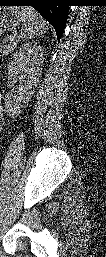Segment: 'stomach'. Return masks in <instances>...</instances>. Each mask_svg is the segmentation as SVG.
I'll use <instances>...</instances> for the list:
<instances>
[{
    "label": "stomach",
    "instance_id": "stomach-1",
    "mask_svg": "<svg viewBox=\"0 0 106 257\" xmlns=\"http://www.w3.org/2000/svg\"><path fill=\"white\" fill-rule=\"evenodd\" d=\"M20 22L18 9L15 7L0 8V33H6L13 30Z\"/></svg>",
    "mask_w": 106,
    "mask_h": 257
}]
</instances>
